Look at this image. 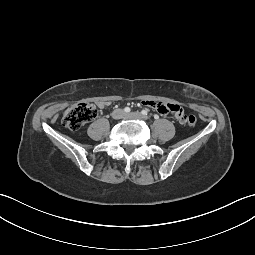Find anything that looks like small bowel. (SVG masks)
<instances>
[{
	"mask_svg": "<svg viewBox=\"0 0 255 255\" xmlns=\"http://www.w3.org/2000/svg\"><path fill=\"white\" fill-rule=\"evenodd\" d=\"M108 104L109 103L107 101H100L98 103L100 108H106ZM142 104L156 110L162 115L171 114L172 118L178 125H185L191 115V112L188 108H182L175 104L163 103L155 100H144Z\"/></svg>",
	"mask_w": 255,
	"mask_h": 255,
	"instance_id": "obj_1",
	"label": "small bowel"
}]
</instances>
